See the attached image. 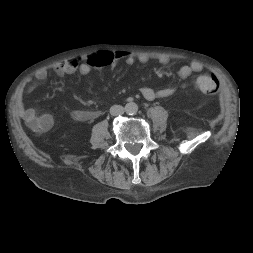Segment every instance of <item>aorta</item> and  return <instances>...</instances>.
Listing matches in <instances>:
<instances>
[{
  "label": "aorta",
  "mask_w": 253,
  "mask_h": 253,
  "mask_svg": "<svg viewBox=\"0 0 253 253\" xmlns=\"http://www.w3.org/2000/svg\"><path fill=\"white\" fill-rule=\"evenodd\" d=\"M124 108L128 114H135L138 111V105L135 102L126 103Z\"/></svg>",
  "instance_id": "aorta-1"
}]
</instances>
